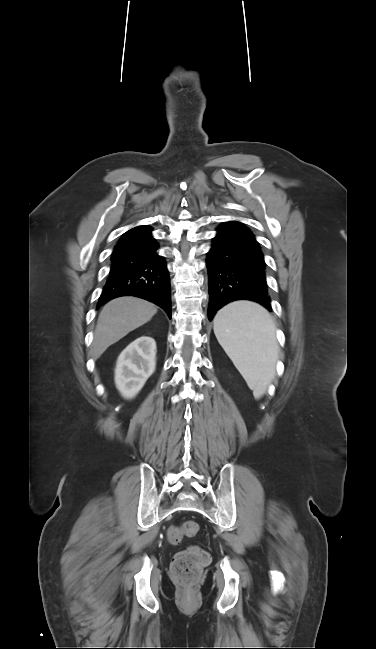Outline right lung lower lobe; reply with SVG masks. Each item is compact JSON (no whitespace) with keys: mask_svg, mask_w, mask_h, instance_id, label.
Wrapping results in <instances>:
<instances>
[{"mask_svg":"<svg viewBox=\"0 0 376 649\" xmlns=\"http://www.w3.org/2000/svg\"><path fill=\"white\" fill-rule=\"evenodd\" d=\"M158 248L150 228L124 234L112 253L97 308L113 298L132 295L155 303L171 318L169 274Z\"/></svg>","mask_w":376,"mask_h":649,"instance_id":"98d812e1","label":"right lung lower lobe"}]
</instances>
